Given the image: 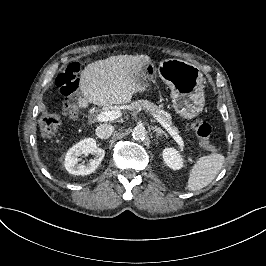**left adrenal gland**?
I'll return each mask as SVG.
<instances>
[{
    "label": "left adrenal gland",
    "mask_w": 266,
    "mask_h": 266,
    "mask_svg": "<svg viewBox=\"0 0 266 266\" xmlns=\"http://www.w3.org/2000/svg\"><path fill=\"white\" fill-rule=\"evenodd\" d=\"M152 130L154 132H157V134H156L157 137L164 136L165 139L168 138L167 134L161 128L155 126Z\"/></svg>",
    "instance_id": "left-adrenal-gland-1"
}]
</instances>
